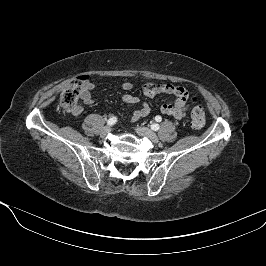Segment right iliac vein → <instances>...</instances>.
Masks as SVG:
<instances>
[{
	"mask_svg": "<svg viewBox=\"0 0 266 266\" xmlns=\"http://www.w3.org/2000/svg\"><path fill=\"white\" fill-rule=\"evenodd\" d=\"M111 132V128L110 127H104L101 131V136L105 137L107 136L109 133Z\"/></svg>",
	"mask_w": 266,
	"mask_h": 266,
	"instance_id": "1",
	"label": "right iliac vein"
}]
</instances>
